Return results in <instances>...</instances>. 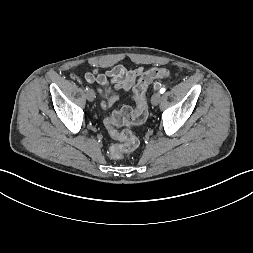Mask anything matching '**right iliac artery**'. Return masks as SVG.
<instances>
[{
    "label": "right iliac artery",
    "mask_w": 253,
    "mask_h": 253,
    "mask_svg": "<svg viewBox=\"0 0 253 253\" xmlns=\"http://www.w3.org/2000/svg\"><path fill=\"white\" fill-rule=\"evenodd\" d=\"M88 90H89V87H88V86H86V87H85V91H88Z\"/></svg>",
    "instance_id": "right-iliac-artery-1"
}]
</instances>
